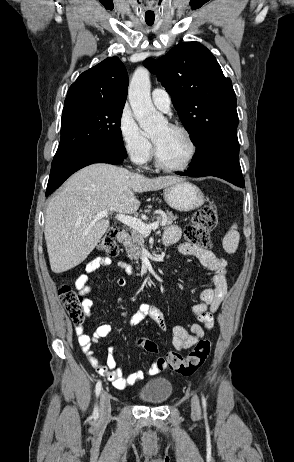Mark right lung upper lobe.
Listing matches in <instances>:
<instances>
[{
  "label": "right lung upper lobe",
  "instance_id": "cb5924a9",
  "mask_svg": "<svg viewBox=\"0 0 294 462\" xmlns=\"http://www.w3.org/2000/svg\"><path fill=\"white\" fill-rule=\"evenodd\" d=\"M128 74L124 64L116 57H109L83 72L70 86L64 102L104 101L125 103Z\"/></svg>",
  "mask_w": 294,
  "mask_h": 462
}]
</instances>
